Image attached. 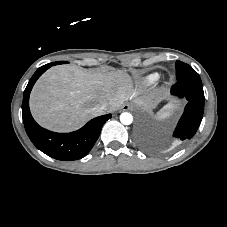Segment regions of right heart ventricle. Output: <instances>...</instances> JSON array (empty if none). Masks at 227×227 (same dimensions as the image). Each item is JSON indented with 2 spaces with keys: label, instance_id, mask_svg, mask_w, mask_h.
Returning a JSON list of instances; mask_svg holds the SVG:
<instances>
[{
  "label": "right heart ventricle",
  "instance_id": "right-heart-ventricle-1",
  "mask_svg": "<svg viewBox=\"0 0 227 227\" xmlns=\"http://www.w3.org/2000/svg\"><path fill=\"white\" fill-rule=\"evenodd\" d=\"M158 78H159V75L156 74V73H153V74H150V75L146 76L143 79V83L149 85V84H152L155 81H157Z\"/></svg>",
  "mask_w": 227,
  "mask_h": 227
}]
</instances>
